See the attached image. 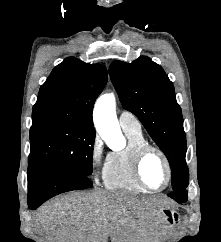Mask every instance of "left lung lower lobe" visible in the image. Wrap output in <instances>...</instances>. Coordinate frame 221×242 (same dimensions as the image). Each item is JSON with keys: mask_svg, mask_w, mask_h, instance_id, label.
Masks as SVG:
<instances>
[{"mask_svg": "<svg viewBox=\"0 0 221 242\" xmlns=\"http://www.w3.org/2000/svg\"><path fill=\"white\" fill-rule=\"evenodd\" d=\"M169 197L176 200L178 203H184L187 201V192L185 190L174 191L171 194H168Z\"/></svg>", "mask_w": 221, "mask_h": 242, "instance_id": "obj_1", "label": "left lung lower lobe"}]
</instances>
